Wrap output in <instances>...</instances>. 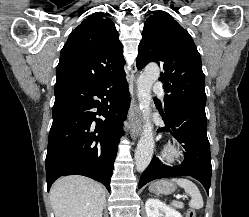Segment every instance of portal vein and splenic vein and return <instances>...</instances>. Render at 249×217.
I'll return each instance as SVG.
<instances>
[{"instance_id": "portal-vein-and-splenic-vein-1", "label": "portal vein and splenic vein", "mask_w": 249, "mask_h": 217, "mask_svg": "<svg viewBox=\"0 0 249 217\" xmlns=\"http://www.w3.org/2000/svg\"><path fill=\"white\" fill-rule=\"evenodd\" d=\"M185 198L184 196L177 195L176 199Z\"/></svg>"}]
</instances>
